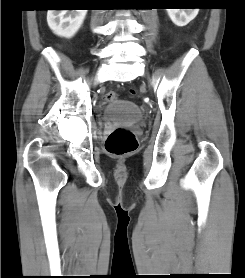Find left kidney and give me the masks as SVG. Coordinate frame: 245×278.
Instances as JSON below:
<instances>
[{
    "label": "left kidney",
    "mask_w": 245,
    "mask_h": 278,
    "mask_svg": "<svg viewBox=\"0 0 245 278\" xmlns=\"http://www.w3.org/2000/svg\"><path fill=\"white\" fill-rule=\"evenodd\" d=\"M166 10L172 22L179 27H183L197 16L199 8Z\"/></svg>",
    "instance_id": "1"
}]
</instances>
